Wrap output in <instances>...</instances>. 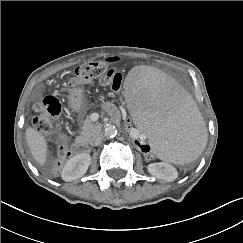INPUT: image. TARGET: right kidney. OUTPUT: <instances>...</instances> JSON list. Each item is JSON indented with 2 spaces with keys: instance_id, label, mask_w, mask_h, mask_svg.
Returning <instances> with one entry per match:
<instances>
[{
  "instance_id": "right-kidney-1",
  "label": "right kidney",
  "mask_w": 243,
  "mask_h": 243,
  "mask_svg": "<svg viewBox=\"0 0 243 243\" xmlns=\"http://www.w3.org/2000/svg\"><path fill=\"white\" fill-rule=\"evenodd\" d=\"M91 163V156L87 153L73 156L69 159L61 173V177L65 181H73L82 177Z\"/></svg>"
}]
</instances>
